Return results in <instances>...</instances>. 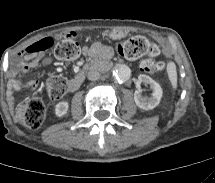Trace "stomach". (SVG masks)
<instances>
[{
	"mask_svg": "<svg viewBox=\"0 0 215 183\" xmlns=\"http://www.w3.org/2000/svg\"><path fill=\"white\" fill-rule=\"evenodd\" d=\"M127 35L124 31L114 30L108 33L109 38L113 40H120Z\"/></svg>",
	"mask_w": 215,
	"mask_h": 183,
	"instance_id": "0dacf381",
	"label": "stomach"
}]
</instances>
